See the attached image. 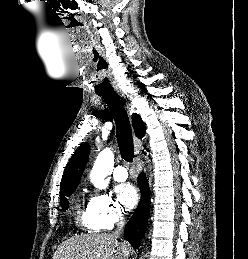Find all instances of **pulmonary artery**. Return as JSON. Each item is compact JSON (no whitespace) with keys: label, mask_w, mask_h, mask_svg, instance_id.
I'll return each instance as SVG.
<instances>
[{"label":"pulmonary artery","mask_w":248,"mask_h":259,"mask_svg":"<svg viewBox=\"0 0 248 259\" xmlns=\"http://www.w3.org/2000/svg\"><path fill=\"white\" fill-rule=\"evenodd\" d=\"M128 174L127 171L125 169V167L123 166H117L114 171H113V178L114 180H116L117 182H123L127 179Z\"/></svg>","instance_id":"1"}]
</instances>
